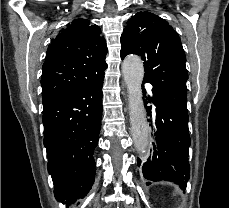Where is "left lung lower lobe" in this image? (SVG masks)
Returning <instances> with one entry per match:
<instances>
[{
	"instance_id": "0a47b994",
	"label": "left lung lower lobe",
	"mask_w": 229,
	"mask_h": 208,
	"mask_svg": "<svg viewBox=\"0 0 229 208\" xmlns=\"http://www.w3.org/2000/svg\"><path fill=\"white\" fill-rule=\"evenodd\" d=\"M144 90V95H145ZM155 108L154 143L151 154L142 166L146 179L170 181L185 189L189 180L188 148L191 143L188 129V111L175 107L167 98L153 89V97L147 103ZM150 117L152 107H146ZM140 166L141 160L137 159ZM150 184V183H148Z\"/></svg>"
}]
</instances>
